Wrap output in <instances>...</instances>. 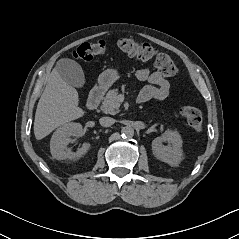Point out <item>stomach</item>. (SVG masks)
Here are the masks:
<instances>
[{"instance_id":"0dacf381","label":"stomach","mask_w":239,"mask_h":239,"mask_svg":"<svg viewBox=\"0 0 239 239\" xmlns=\"http://www.w3.org/2000/svg\"><path fill=\"white\" fill-rule=\"evenodd\" d=\"M118 79V73L114 69L105 70L98 79L99 84L104 87H110Z\"/></svg>"}]
</instances>
